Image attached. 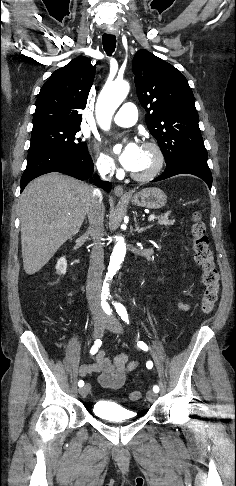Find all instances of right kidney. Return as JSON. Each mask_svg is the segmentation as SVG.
<instances>
[{
	"label": "right kidney",
	"mask_w": 236,
	"mask_h": 486,
	"mask_svg": "<svg viewBox=\"0 0 236 486\" xmlns=\"http://www.w3.org/2000/svg\"><path fill=\"white\" fill-rule=\"evenodd\" d=\"M55 268H56L57 274H59V275H64L66 273L67 261H66L65 257H61L57 261V264H56V267Z\"/></svg>",
	"instance_id": "right-kidney-1"
}]
</instances>
